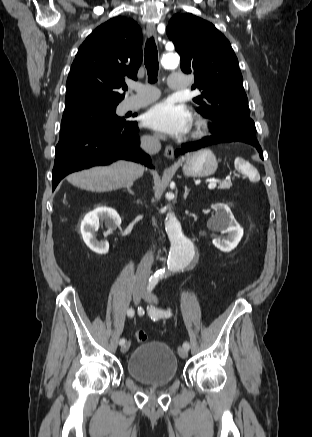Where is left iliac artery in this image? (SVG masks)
I'll return each instance as SVG.
<instances>
[{"label": "left iliac artery", "mask_w": 312, "mask_h": 437, "mask_svg": "<svg viewBox=\"0 0 312 437\" xmlns=\"http://www.w3.org/2000/svg\"><path fill=\"white\" fill-rule=\"evenodd\" d=\"M157 282H158V279L151 278L149 280V284H148V287H147L148 291H151L155 287ZM148 313L151 316V318H153V319H157V318H161V317L169 318L172 315L171 311L156 309V308H153V307H151L148 310ZM183 347L186 348V349H189L190 345H189L188 342H184L183 343Z\"/></svg>", "instance_id": "left-iliac-artery-1"}]
</instances>
